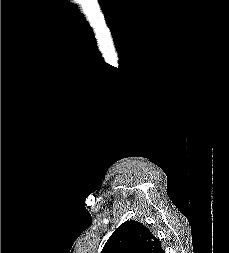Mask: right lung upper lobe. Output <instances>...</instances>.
Returning a JSON list of instances; mask_svg holds the SVG:
<instances>
[{
    "mask_svg": "<svg viewBox=\"0 0 229 253\" xmlns=\"http://www.w3.org/2000/svg\"><path fill=\"white\" fill-rule=\"evenodd\" d=\"M101 253H165L160 241L138 221L122 223L107 240Z\"/></svg>",
    "mask_w": 229,
    "mask_h": 253,
    "instance_id": "cb5924a9",
    "label": "right lung upper lobe"
}]
</instances>
